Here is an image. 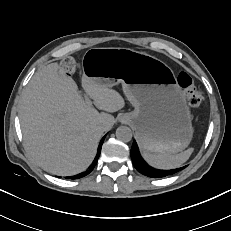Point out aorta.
<instances>
[{"instance_id":"1","label":"aorta","mask_w":231,"mask_h":231,"mask_svg":"<svg viewBox=\"0 0 231 231\" xmlns=\"http://www.w3.org/2000/svg\"><path fill=\"white\" fill-rule=\"evenodd\" d=\"M116 136L122 142H129L132 139V131L127 126H120L116 130Z\"/></svg>"}]
</instances>
